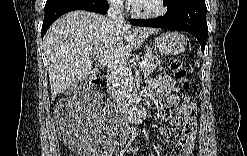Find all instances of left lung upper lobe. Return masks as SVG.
I'll list each match as a JSON object with an SVG mask.
<instances>
[{
	"instance_id": "obj_1",
	"label": "left lung upper lobe",
	"mask_w": 247,
	"mask_h": 156,
	"mask_svg": "<svg viewBox=\"0 0 247 156\" xmlns=\"http://www.w3.org/2000/svg\"><path fill=\"white\" fill-rule=\"evenodd\" d=\"M179 1L181 0H167V7H173L174 5H176Z\"/></svg>"
}]
</instances>
